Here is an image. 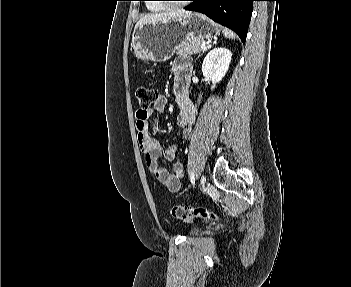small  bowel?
<instances>
[{
  "mask_svg": "<svg viewBox=\"0 0 351 287\" xmlns=\"http://www.w3.org/2000/svg\"><path fill=\"white\" fill-rule=\"evenodd\" d=\"M189 61L181 58L172 65V72L175 76L174 92L175 99L180 108L177 117V124L182 129L186 139L191 138L192 127L196 118L195 106L190 100L188 91ZM167 105L165 95L156 96L150 108H140L136 112L137 137L141 150L145 154L146 165L153 175L168 190L178 191L181 188V180L184 176L183 165L175 161L176 147L169 146L164 148L150 132L149 119L153 113H162ZM163 157L168 161H173L171 171L159 165V158Z\"/></svg>",
  "mask_w": 351,
  "mask_h": 287,
  "instance_id": "small-bowel-1",
  "label": "small bowel"
}]
</instances>
